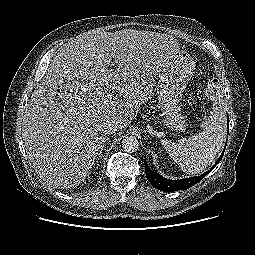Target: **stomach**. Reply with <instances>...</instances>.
<instances>
[{"label": "stomach", "instance_id": "0dacf381", "mask_svg": "<svg viewBox=\"0 0 255 255\" xmlns=\"http://www.w3.org/2000/svg\"><path fill=\"white\" fill-rule=\"evenodd\" d=\"M194 61L186 51L176 53L170 64L159 73L158 94L164 123L171 129L185 130V117L181 115L178 99L194 71Z\"/></svg>", "mask_w": 255, "mask_h": 255}]
</instances>
